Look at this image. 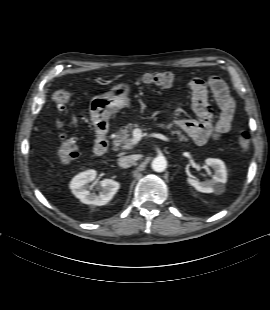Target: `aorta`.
<instances>
[{
	"label": "aorta",
	"instance_id": "1",
	"mask_svg": "<svg viewBox=\"0 0 270 310\" xmlns=\"http://www.w3.org/2000/svg\"><path fill=\"white\" fill-rule=\"evenodd\" d=\"M151 167L155 172H163L167 167V161L163 156L156 157L153 159Z\"/></svg>",
	"mask_w": 270,
	"mask_h": 310
}]
</instances>
